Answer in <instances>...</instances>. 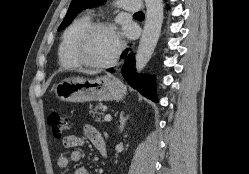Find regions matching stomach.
I'll return each instance as SVG.
<instances>
[{
	"instance_id": "1",
	"label": "stomach",
	"mask_w": 249,
	"mask_h": 174,
	"mask_svg": "<svg viewBox=\"0 0 249 174\" xmlns=\"http://www.w3.org/2000/svg\"><path fill=\"white\" fill-rule=\"evenodd\" d=\"M56 96L67 102H89L121 100L125 93L124 85L113 76L96 79L67 78L57 83Z\"/></svg>"
}]
</instances>
